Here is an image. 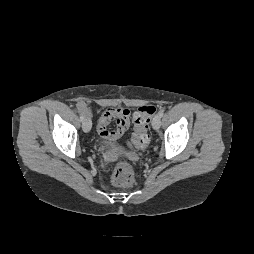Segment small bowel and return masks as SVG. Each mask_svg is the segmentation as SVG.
Segmentation results:
<instances>
[{
    "label": "small bowel",
    "instance_id": "small-bowel-1",
    "mask_svg": "<svg viewBox=\"0 0 254 254\" xmlns=\"http://www.w3.org/2000/svg\"><path fill=\"white\" fill-rule=\"evenodd\" d=\"M77 109L82 115L90 117L91 112L85 101H79ZM131 112L129 109L117 106L107 108L101 112L98 123L97 132L105 140L115 141L119 139L130 126ZM111 121H115L116 126L113 129L108 128Z\"/></svg>",
    "mask_w": 254,
    "mask_h": 254
}]
</instances>
